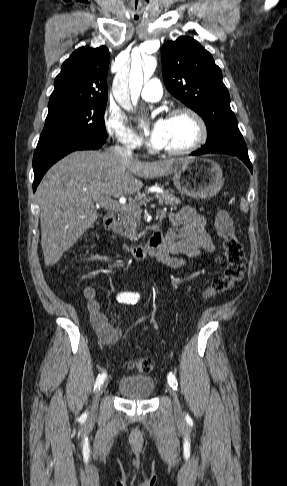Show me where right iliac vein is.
<instances>
[{
  "mask_svg": "<svg viewBox=\"0 0 287 486\" xmlns=\"http://www.w3.org/2000/svg\"><path fill=\"white\" fill-rule=\"evenodd\" d=\"M107 387V383H104L100 386L99 390L97 391L96 393V398L94 400V403H93V412H96L97 409H98V402H99V397L100 395L102 394V392L106 389Z\"/></svg>",
  "mask_w": 287,
  "mask_h": 486,
  "instance_id": "right-iliac-vein-1",
  "label": "right iliac vein"
}]
</instances>
